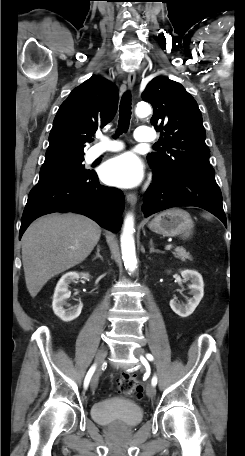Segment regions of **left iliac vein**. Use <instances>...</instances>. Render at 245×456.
I'll use <instances>...</instances> for the list:
<instances>
[{"mask_svg": "<svg viewBox=\"0 0 245 456\" xmlns=\"http://www.w3.org/2000/svg\"><path fill=\"white\" fill-rule=\"evenodd\" d=\"M144 349L142 348H137L134 350V354L136 357L140 358L142 362H144ZM146 394L149 396V397H154L155 394H156V389H155V386H153L152 384H149L146 388Z\"/></svg>", "mask_w": 245, "mask_h": 456, "instance_id": "1", "label": "left iliac vein"}]
</instances>
